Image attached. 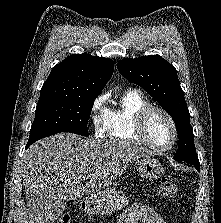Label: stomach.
Listing matches in <instances>:
<instances>
[{
    "instance_id": "1",
    "label": "stomach",
    "mask_w": 221,
    "mask_h": 223,
    "mask_svg": "<svg viewBox=\"0 0 221 223\" xmlns=\"http://www.w3.org/2000/svg\"><path fill=\"white\" fill-rule=\"evenodd\" d=\"M138 163L139 173L141 177L146 180H156L164 173V169L161 163L152 156L140 158ZM114 192V188H108L91 195V197L87 200V212L90 214H95L100 211L105 206L106 202L113 196Z\"/></svg>"
}]
</instances>
